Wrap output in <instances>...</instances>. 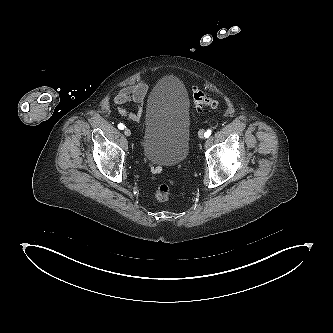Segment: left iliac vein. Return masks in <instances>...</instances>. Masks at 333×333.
<instances>
[{
    "instance_id": "obj_1",
    "label": "left iliac vein",
    "mask_w": 333,
    "mask_h": 333,
    "mask_svg": "<svg viewBox=\"0 0 333 333\" xmlns=\"http://www.w3.org/2000/svg\"><path fill=\"white\" fill-rule=\"evenodd\" d=\"M198 136H199V138H201V139H203V138L205 137V134H204V130H203V129L199 130V132H198Z\"/></svg>"
}]
</instances>
